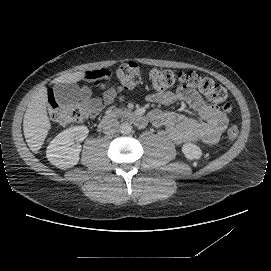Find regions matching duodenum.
<instances>
[{"instance_id":"duodenum-1","label":"duodenum","mask_w":271,"mask_h":271,"mask_svg":"<svg viewBox=\"0 0 271 271\" xmlns=\"http://www.w3.org/2000/svg\"><path fill=\"white\" fill-rule=\"evenodd\" d=\"M126 118L132 122H134L138 126H143L146 123V120L143 116L130 111V110H116L104 115L99 123V129L109 134L116 127V121L118 118Z\"/></svg>"}]
</instances>
